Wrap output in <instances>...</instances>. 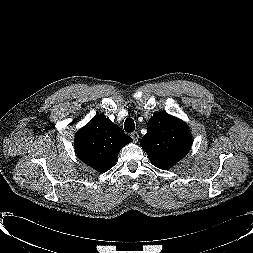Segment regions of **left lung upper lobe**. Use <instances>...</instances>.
<instances>
[{
    "instance_id": "left-lung-upper-lobe-1",
    "label": "left lung upper lobe",
    "mask_w": 253,
    "mask_h": 253,
    "mask_svg": "<svg viewBox=\"0 0 253 253\" xmlns=\"http://www.w3.org/2000/svg\"><path fill=\"white\" fill-rule=\"evenodd\" d=\"M140 144L151 163L157 168L166 170L189 152L192 136L185 122L159 112L149 120L147 133Z\"/></svg>"
}]
</instances>
